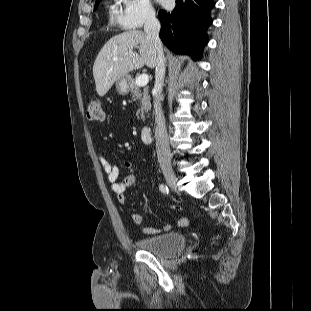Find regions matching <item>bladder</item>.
Here are the masks:
<instances>
[{
	"label": "bladder",
	"instance_id": "1",
	"mask_svg": "<svg viewBox=\"0 0 311 311\" xmlns=\"http://www.w3.org/2000/svg\"><path fill=\"white\" fill-rule=\"evenodd\" d=\"M141 251L156 253L168 257L181 251L186 245V236L178 232L164 233L156 236L141 237L136 240Z\"/></svg>",
	"mask_w": 311,
	"mask_h": 311
}]
</instances>
